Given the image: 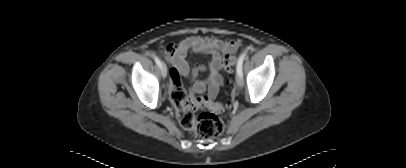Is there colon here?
I'll use <instances>...</instances> for the list:
<instances>
[{
    "instance_id": "obj_1",
    "label": "colon",
    "mask_w": 406,
    "mask_h": 168,
    "mask_svg": "<svg viewBox=\"0 0 406 168\" xmlns=\"http://www.w3.org/2000/svg\"><path fill=\"white\" fill-rule=\"evenodd\" d=\"M236 57L227 54L221 61V68L227 75L234 70ZM175 106V114L181 127L192 130L202 139H212L220 136L225 129L224 122L217 113L222 112L223 106L204 97L189 95L181 83H176L170 92ZM203 109L196 115L195 113Z\"/></svg>"
}]
</instances>
